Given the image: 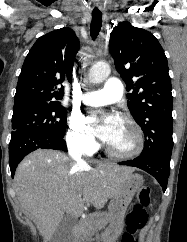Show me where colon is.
<instances>
[{
    "instance_id": "colon-1",
    "label": "colon",
    "mask_w": 187,
    "mask_h": 242,
    "mask_svg": "<svg viewBox=\"0 0 187 242\" xmlns=\"http://www.w3.org/2000/svg\"><path fill=\"white\" fill-rule=\"evenodd\" d=\"M150 203V188L143 186L137 194V203L126 217V232L121 242H136L135 234L140 231L147 222L148 214L146 211Z\"/></svg>"
}]
</instances>
